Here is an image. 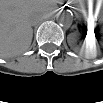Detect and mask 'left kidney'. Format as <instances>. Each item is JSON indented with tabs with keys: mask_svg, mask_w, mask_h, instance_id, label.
Here are the masks:
<instances>
[{
	"mask_svg": "<svg viewBox=\"0 0 103 103\" xmlns=\"http://www.w3.org/2000/svg\"><path fill=\"white\" fill-rule=\"evenodd\" d=\"M68 43L70 44V46L75 50V51H77V52H81V53H83V52H85V50H84V48H78L77 46H76V40H75V35L74 34H70L69 35V37H68ZM88 43H91V44H93L94 43V41H91V40H87V45H88ZM88 51V50H87ZM92 51H96L95 50V48H90V50H89V54L90 53H92Z\"/></svg>",
	"mask_w": 103,
	"mask_h": 103,
	"instance_id": "left-kidney-1",
	"label": "left kidney"
}]
</instances>
